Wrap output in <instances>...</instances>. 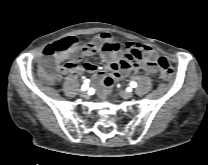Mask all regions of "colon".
Listing matches in <instances>:
<instances>
[{
  "label": "colon",
  "instance_id": "1",
  "mask_svg": "<svg viewBox=\"0 0 208 165\" xmlns=\"http://www.w3.org/2000/svg\"><path fill=\"white\" fill-rule=\"evenodd\" d=\"M91 50V46L75 37H66L47 46L43 58L39 65V74L47 82L56 81L59 71L58 64L63 57H70L73 62ZM151 57H146V61H151ZM156 63L160 67L159 78L167 83L173 77V69L166 58L156 57Z\"/></svg>",
  "mask_w": 208,
  "mask_h": 165
}]
</instances>
